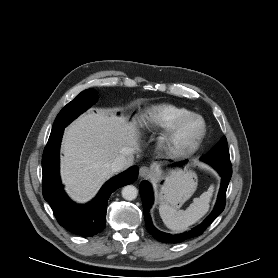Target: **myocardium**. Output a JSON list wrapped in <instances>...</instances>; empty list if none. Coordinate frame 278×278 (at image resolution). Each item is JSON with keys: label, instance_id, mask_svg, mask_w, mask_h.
<instances>
[{"label": "myocardium", "instance_id": "1", "mask_svg": "<svg viewBox=\"0 0 278 278\" xmlns=\"http://www.w3.org/2000/svg\"><path fill=\"white\" fill-rule=\"evenodd\" d=\"M191 120H196L200 123L201 129L198 135L188 143H183L179 140V135L182 128ZM207 133V125L202 116L196 113H189L179 120L167 130L161 139V148L171 157H185L195 153L201 146Z\"/></svg>", "mask_w": 278, "mask_h": 278}]
</instances>
